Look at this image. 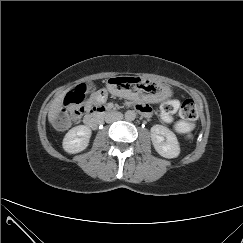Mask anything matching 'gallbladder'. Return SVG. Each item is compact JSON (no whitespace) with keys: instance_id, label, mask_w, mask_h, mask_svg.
<instances>
[{"instance_id":"obj_1","label":"gallbladder","mask_w":243,"mask_h":243,"mask_svg":"<svg viewBox=\"0 0 243 243\" xmlns=\"http://www.w3.org/2000/svg\"><path fill=\"white\" fill-rule=\"evenodd\" d=\"M92 86H93V83L88 84V88H92Z\"/></svg>"}]
</instances>
